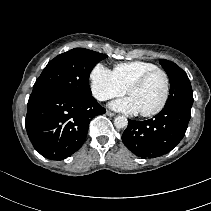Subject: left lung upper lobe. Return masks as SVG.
<instances>
[{
	"instance_id": "5c2ea615",
	"label": "left lung upper lobe",
	"mask_w": 211,
	"mask_h": 211,
	"mask_svg": "<svg viewBox=\"0 0 211 211\" xmlns=\"http://www.w3.org/2000/svg\"><path fill=\"white\" fill-rule=\"evenodd\" d=\"M160 64L166 71L170 80V95L167 104L182 103L192 106L193 92L186 73L175 63L161 59Z\"/></svg>"
}]
</instances>
